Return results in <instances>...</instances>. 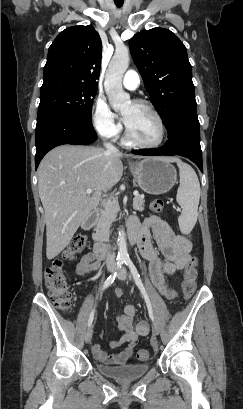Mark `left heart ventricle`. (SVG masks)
<instances>
[{"instance_id": "b2bd125f", "label": "left heart ventricle", "mask_w": 243, "mask_h": 409, "mask_svg": "<svg viewBox=\"0 0 243 409\" xmlns=\"http://www.w3.org/2000/svg\"><path fill=\"white\" fill-rule=\"evenodd\" d=\"M121 113L126 117V124L137 139L154 142L159 138L158 123L146 108L130 102L121 109Z\"/></svg>"}]
</instances>
